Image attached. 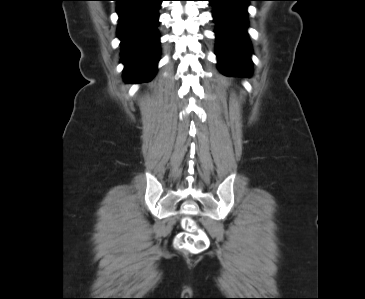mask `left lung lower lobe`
<instances>
[{"mask_svg":"<svg viewBox=\"0 0 365 299\" xmlns=\"http://www.w3.org/2000/svg\"><path fill=\"white\" fill-rule=\"evenodd\" d=\"M216 23V55L220 72L248 77L252 47L247 35V6L253 0H208Z\"/></svg>","mask_w":365,"mask_h":299,"instance_id":"1","label":"left lung lower lobe"}]
</instances>
